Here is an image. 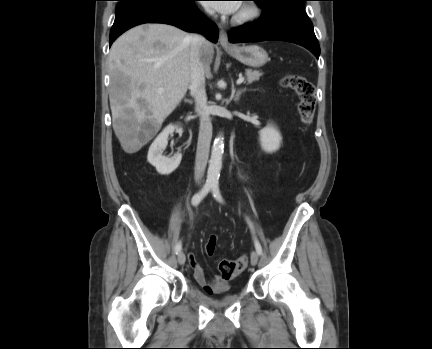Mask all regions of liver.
Segmentation results:
<instances>
[{"mask_svg":"<svg viewBox=\"0 0 432 349\" xmlns=\"http://www.w3.org/2000/svg\"><path fill=\"white\" fill-rule=\"evenodd\" d=\"M189 34L171 25L145 24L121 35L109 53V101L115 135L129 154L160 130L190 84ZM214 55L206 41L200 50L206 75Z\"/></svg>","mask_w":432,"mask_h":349,"instance_id":"liver-1","label":"liver"}]
</instances>
